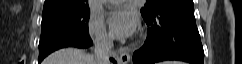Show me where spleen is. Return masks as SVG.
<instances>
[{"instance_id":"obj_1","label":"spleen","mask_w":242,"mask_h":64,"mask_svg":"<svg viewBox=\"0 0 242 64\" xmlns=\"http://www.w3.org/2000/svg\"><path fill=\"white\" fill-rule=\"evenodd\" d=\"M161 64H183L182 62H178V61H167V62H163Z\"/></svg>"}]
</instances>
